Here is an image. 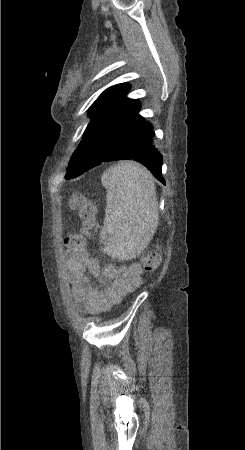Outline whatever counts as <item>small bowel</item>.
I'll return each instance as SVG.
<instances>
[{"label":"small bowel","instance_id":"c3829d8e","mask_svg":"<svg viewBox=\"0 0 245 450\" xmlns=\"http://www.w3.org/2000/svg\"><path fill=\"white\" fill-rule=\"evenodd\" d=\"M66 258L75 305L86 314L99 315L108 311L142 282V270L136 264L121 269L112 265L102 267L99 257L87 253L85 259L79 260L70 250L66 251ZM99 285L107 287L101 289Z\"/></svg>","mask_w":245,"mask_h":450}]
</instances>
